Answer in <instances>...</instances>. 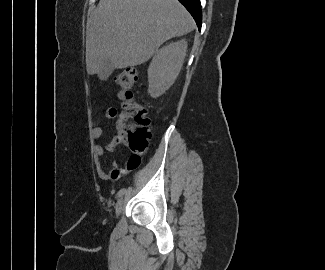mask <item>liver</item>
<instances>
[{"label":"liver","instance_id":"obj_1","mask_svg":"<svg viewBox=\"0 0 325 270\" xmlns=\"http://www.w3.org/2000/svg\"><path fill=\"white\" fill-rule=\"evenodd\" d=\"M194 27L178 0H100L87 19V72L105 80L107 60L117 69L143 64L164 42Z\"/></svg>","mask_w":325,"mask_h":270}]
</instances>
